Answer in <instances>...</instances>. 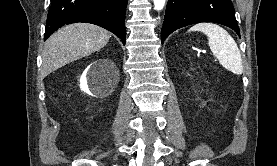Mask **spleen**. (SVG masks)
I'll return each mask as SVG.
<instances>
[{"instance_id": "spleen-1", "label": "spleen", "mask_w": 277, "mask_h": 166, "mask_svg": "<svg viewBox=\"0 0 277 166\" xmlns=\"http://www.w3.org/2000/svg\"><path fill=\"white\" fill-rule=\"evenodd\" d=\"M200 31L207 35L208 45L219 63L234 74L240 75L243 71L240 50L229 33L214 23H198L188 32Z\"/></svg>"}]
</instances>
